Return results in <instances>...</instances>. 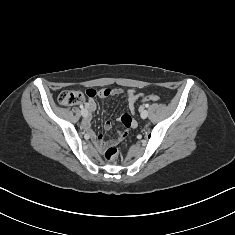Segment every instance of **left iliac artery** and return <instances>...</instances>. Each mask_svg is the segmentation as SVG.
Masks as SVG:
<instances>
[{"instance_id": "44dca946", "label": "left iliac artery", "mask_w": 235, "mask_h": 235, "mask_svg": "<svg viewBox=\"0 0 235 235\" xmlns=\"http://www.w3.org/2000/svg\"><path fill=\"white\" fill-rule=\"evenodd\" d=\"M145 107L148 108V107H149V104H145Z\"/></svg>"}]
</instances>
